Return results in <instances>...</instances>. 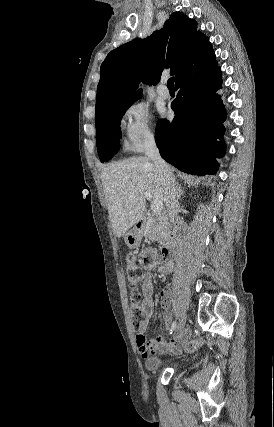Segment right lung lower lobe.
Here are the masks:
<instances>
[{
  "label": "right lung lower lobe",
  "mask_w": 274,
  "mask_h": 427,
  "mask_svg": "<svg viewBox=\"0 0 274 427\" xmlns=\"http://www.w3.org/2000/svg\"><path fill=\"white\" fill-rule=\"evenodd\" d=\"M221 84L217 61L190 72L176 84L177 96L171 103L174 119L157 125L156 143L162 158L185 173L215 174V158L224 155L226 111L215 94Z\"/></svg>",
  "instance_id": "right-lung-lower-lobe-1"
}]
</instances>
